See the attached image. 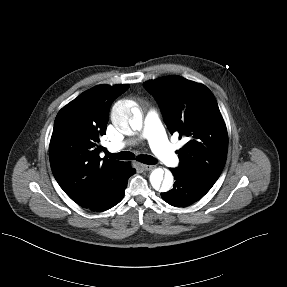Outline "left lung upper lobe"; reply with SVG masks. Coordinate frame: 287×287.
<instances>
[{
    "label": "left lung upper lobe",
    "instance_id": "obj_1",
    "mask_svg": "<svg viewBox=\"0 0 287 287\" xmlns=\"http://www.w3.org/2000/svg\"><path fill=\"white\" fill-rule=\"evenodd\" d=\"M143 85L158 101L169 131L189 138L177 151L178 169L211 188L224 168L228 149L226 125L214 95L203 84L176 75Z\"/></svg>",
    "mask_w": 287,
    "mask_h": 287
}]
</instances>
